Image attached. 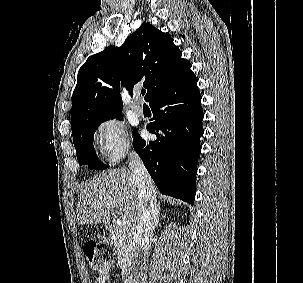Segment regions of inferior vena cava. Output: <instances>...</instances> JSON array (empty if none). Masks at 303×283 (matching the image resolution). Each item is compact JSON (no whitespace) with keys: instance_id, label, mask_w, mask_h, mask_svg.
<instances>
[{"instance_id":"602c4592","label":"inferior vena cava","mask_w":303,"mask_h":283,"mask_svg":"<svg viewBox=\"0 0 303 283\" xmlns=\"http://www.w3.org/2000/svg\"><path fill=\"white\" fill-rule=\"evenodd\" d=\"M129 168L138 193V220L135 225L134 237L136 246L133 259L134 283H145L147 271V256L150 247V238L155 225L158 211L154 185L141 158L134 151L129 154Z\"/></svg>"}]
</instances>
